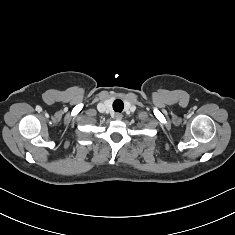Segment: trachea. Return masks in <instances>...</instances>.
<instances>
[{"mask_svg": "<svg viewBox=\"0 0 235 235\" xmlns=\"http://www.w3.org/2000/svg\"><path fill=\"white\" fill-rule=\"evenodd\" d=\"M124 108V103L122 100L117 99L113 102V109L116 112H121Z\"/></svg>", "mask_w": 235, "mask_h": 235, "instance_id": "obj_1", "label": "trachea"}]
</instances>
